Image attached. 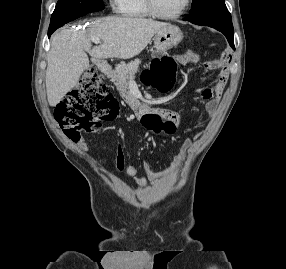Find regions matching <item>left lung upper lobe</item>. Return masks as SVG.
Masks as SVG:
<instances>
[{
  "instance_id": "obj_1",
  "label": "left lung upper lobe",
  "mask_w": 286,
  "mask_h": 269,
  "mask_svg": "<svg viewBox=\"0 0 286 269\" xmlns=\"http://www.w3.org/2000/svg\"><path fill=\"white\" fill-rule=\"evenodd\" d=\"M190 16L184 18L193 24L220 26L233 30L231 15L224 0H192Z\"/></svg>"
}]
</instances>
